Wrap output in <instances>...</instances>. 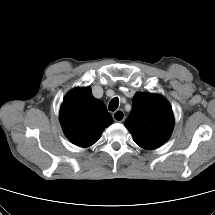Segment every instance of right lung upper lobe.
<instances>
[{
	"instance_id": "1",
	"label": "right lung upper lobe",
	"mask_w": 215,
	"mask_h": 215,
	"mask_svg": "<svg viewBox=\"0 0 215 215\" xmlns=\"http://www.w3.org/2000/svg\"><path fill=\"white\" fill-rule=\"evenodd\" d=\"M60 122L68 139L85 148L97 142L113 120L104 103L86 87L75 88L66 95L60 108Z\"/></svg>"
}]
</instances>
